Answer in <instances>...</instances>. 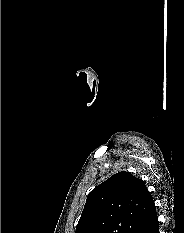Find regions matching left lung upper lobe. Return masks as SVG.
I'll return each mask as SVG.
<instances>
[{
	"label": "left lung upper lobe",
	"mask_w": 184,
	"mask_h": 233,
	"mask_svg": "<svg viewBox=\"0 0 184 233\" xmlns=\"http://www.w3.org/2000/svg\"><path fill=\"white\" fill-rule=\"evenodd\" d=\"M152 204L141 179L118 172L88 194L75 233H139Z\"/></svg>",
	"instance_id": "obj_1"
}]
</instances>
